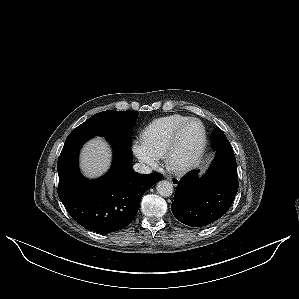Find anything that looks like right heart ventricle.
I'll use <instances>...</instances> for the list:
<instances>
[{
    "label": "right heart ventricle",
    "instance_id": "obj_1",
    "mask_svg": "<svg viewBox=\"0 0 299 299\" xmlns=\"http://www.w3.org/2000/svg\"><path fill=\"white\" fill-rule=\"evenodd\" d=\"M188 118L181 114H172L152 121L142 133V142L151 153L162 157L172 134Z\"/></svg>",
    "mask_w": 299,
    "mask_h": 299
}]
</instances>
